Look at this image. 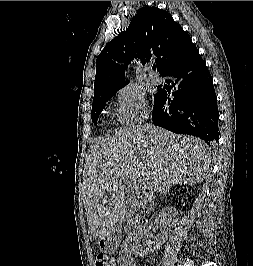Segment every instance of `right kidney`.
Wrapping results in <instances>:
<instances>
[{
    "label": "right kidney",
    "mask_w": 253,
    "mask_h": 266,
    "mask_svg": "<svg viewBox=\"0 0 253 266\" xmlns=\"http://www.w3.org/2000/svg\"><path fill=\"white\" fill-rule=\"evenodd\" d=\"M151 226H140L134 233L133 244L131 250L138 256H146L149 252L158 250L165 242L166 233L163 232L162 236L154 237L151 233ZM165 235V237H164ZM155 239L152 241V239Z\"/></svg>",
    "instance_id": "obj_1"
}]
</instances>
